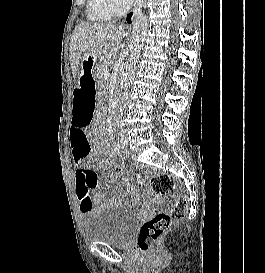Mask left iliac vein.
<instances>
[{"label": "left iliac vein", "mask_w": 265, "mask_h": 273, "mask_svg": "<svg viewBox=\"0 0 265 273\" xmlns=\"http://www.w3.org/2000/svg\"><path fill=\"white\" fill-rule=\"evenodd\" d=\"M120 138H121V144L123 146L128 145V138H127V135H126V130L121 131Z\"/></svg>", "instance_id": "1"}]
</instances>
